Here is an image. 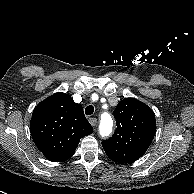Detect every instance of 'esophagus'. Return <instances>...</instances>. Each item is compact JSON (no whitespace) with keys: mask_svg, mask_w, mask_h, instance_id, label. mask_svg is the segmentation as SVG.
I'll return each mask as SVG.
<instances>
[{"mask_svg":"<svg viewBox=\"0 0 194 194\" xmlns=\"http://www.w3.org/2000/svg\"><path fill=\"white\" fill-rule=\"evenodd\" d=\"M89 122L90 124L95 127L97 125V119L92 117V118H89Z\"/></svg>","mask_w":194,"mask_h":194,"instance_id":"1","label":"esophagus"}]
</instances>
